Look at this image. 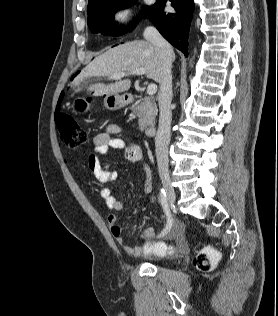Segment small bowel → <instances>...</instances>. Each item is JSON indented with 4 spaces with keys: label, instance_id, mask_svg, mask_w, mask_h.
<instances>
[{
    "label": "small bowel",
    "instance_id": "1",
    "mask_svg": "<svg viewBox=\"0 0 278 316\" xmlns=\"http://www.w3.org/2000/svg\"><path fill=\"white\" fill-rule=\"evenodd\" d=\"M120 131L121 128L118 125L109 124L105 132L97 134L93 139L94 152L88 156L87 160L89 170L101 185V197L105 200L107 207L112 211H120L123 207L122 203L113 196L111 189L107 186L108 183L117 178V172L112 170L109 165L103 164L99 155H106L113 149L121 150L124 158L129 162L138 163L142 158V149L138 144H127L123 139L114 136L120 133ZM140 167L145 175L144 190L150 192L152 189L151 171L144 164H141ZM108 223L116 242L124 247L125 252L129 255H139L141 252L140 247L125 244L123 229L121 225L118 224V216L115 213L108 215ZM175 235L177 238L181 237V225L178 223L175 225ZM156 236H159V234L152 227H148L142 231L143 238L151 239Z\"/></svg>",
    "mask_w": 278,
    "mask_h": 316
}]
</instances>
